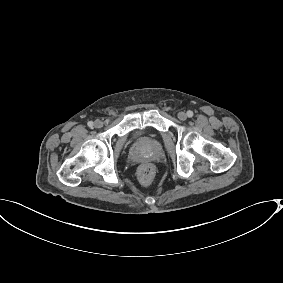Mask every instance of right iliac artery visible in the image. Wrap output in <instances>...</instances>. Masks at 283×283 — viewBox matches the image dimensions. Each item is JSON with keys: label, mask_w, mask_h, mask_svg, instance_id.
<instances>
[{"label": "right iliac artery", "mask_w": 283, "mask_h": 283, "mask_svg": "<svg viewBox=\"0 0 283 283\" xmlns=\"http://www.w3.org/2000/svg\"><path fill=\"white\" fill-rule=\"evenodd\" d=\"M87 125H88L89 127H93V122H92V121H89Z\"/></svg>", "instance_id": "1"}]
</instances>
